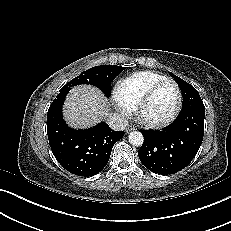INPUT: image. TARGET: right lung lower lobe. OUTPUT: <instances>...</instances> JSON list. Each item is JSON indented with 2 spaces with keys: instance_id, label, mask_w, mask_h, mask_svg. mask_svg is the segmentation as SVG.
Segmentation results:
<instances>
[{
  "instance_id": "1",
  "label": "right lung lower lobe",
  "mask_w": 231,
  "mask_h": 231,
  "mask_svg": "<svg viewBox=\"0 0 231 231\" xmlns=\"http://www.w3.org/2000/svg\"><path fill=\"white\" fill-rule=\"evenodd\" d=\"M69 90L62 87L49 107L47 135L50 147L64 169L78 176H93L106 166L114 144L124 132L114 131L104 122L84 130L68 127L62 117V105Z\"/></svg>"
}]
</instances>
